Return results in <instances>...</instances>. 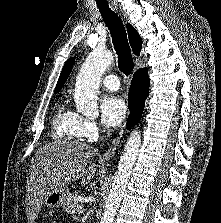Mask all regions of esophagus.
<instances>
[{
  "label": "esophagus",
  "instance_id": "esophagus-1",
  "mask_svg": "<svg viewBox=\"0 0 221 223\" xmlns=\"http://www.w3.org/2000/svg\"><path fill=\"white\" fill-rule=\"evenodd\" d=\"M123 128H124V126H123ZM123 128H122L120 134L122 133ZM118 142H119V136L116 137V138L111 142V145H110V147H109V150L106 151V152H104V154L100 157V161H101V162H106V161H108V160L110 159L111 154L116 150V147H117V145H118Z\"/></svg>",
  "mask_w": 221,
  "mask_h": 223
}]
</instances>
